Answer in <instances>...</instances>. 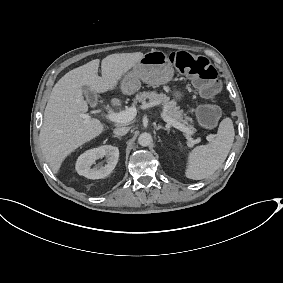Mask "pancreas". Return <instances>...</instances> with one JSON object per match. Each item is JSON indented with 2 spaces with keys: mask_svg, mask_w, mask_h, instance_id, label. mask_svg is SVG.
I'll return each instance as SVG.
<instances>
[{
  "mask_svg": "<svg viewBox=\"0 0 283 283\" xmlns=\"http://www.w3.org/2000/svg\"><path fill=\"white\" fill-rule=\"evenodd\" d=\"M149 100V105H161L163 107V111L166 113V117L172 118L175 121L184 122L183 111L179 110L176 102L170 101L166 94H157L155 92H142L136 95L137 102H146ZM191 120L190 118H187Z\"/></svg>",
  "mask_w": 283,
  "mask_h": 283,
  "instance_id": "obj_1",
  "label": "pancreas"
}]
</instances>
